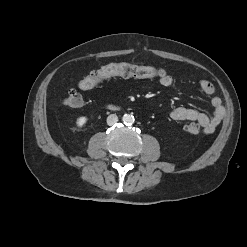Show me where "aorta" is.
Masks as SVG:
<instances>
[{"label": "aorta", "mask_w": 247, "mask_h": 247, "mask_svg": "<svg viewBox=\"0 0 247 247\" xmlns=\"http://www.w3.org/2000/svg\"><path fill=\"white\" fill-rule=\"evenodd\" d=\"M122 121L126 126H131L134 123L135 119L133 115L125 114L122 117Z\"/></svg>", "instance_id": "1"}]
</instances>
